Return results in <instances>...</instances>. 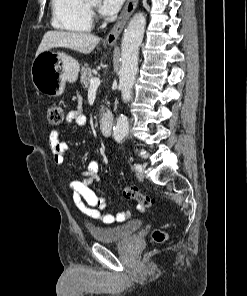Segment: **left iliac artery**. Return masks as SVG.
Here are the masks:
<instances>
[{"mask_svg": "<svg viewBox=\"0 0 247 296\" xmlns=\"http://www.w3.org/2000/svg\"><path fill=\"white\" fill-rule=\"evenodd\" d=\"M133 168H134L135 170H137V171H140V170L142 169V166H141L140 164H135V165L133 166Z\"/></svg>", "mask_w": 247, "mask_h": 296, "instance_id": "1", "label": "left iliac artery"}]
</instances>
